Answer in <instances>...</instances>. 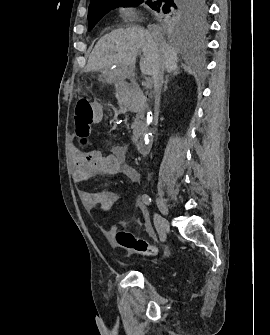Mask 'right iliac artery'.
<instances>
[{"instance_id":"1","label":"right iliac artery","mask_w":270,"mask_h":335,"mask_svg":"<svg viewBox=\"0 0 270 335\" xmlns=\"http://www.w3.org/2000/svg\"><path fill=\"white\" fill-rule=\"evenodd\" d=\"M142 201L146 205H151V198L147 194L142 195ZM153 220H154L155 228H156V230L159 234L160 240L165 241L166 233H165V230H164V227H163V221H162L161 216L155 213Z\"/></svg>"}]
</instances>
